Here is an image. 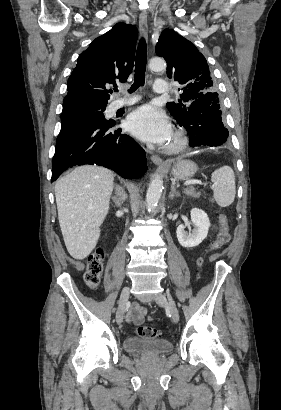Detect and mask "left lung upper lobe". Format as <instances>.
Returning <instances> with one entry per match:
<instances>
[{
    "mask_svg": "<svg viewBox=\"0 0 281 410\" xmlns=\"http://www.w3.org/2000/svg\"><path fill=\"white\" fill-rule=\"evenodd\" d=\"M155 52L166 59L167 76L182 85L178 89L181 99L177 103H167L168 110L178 124L185 120L192 102L219 99L206 59L192 42L172 29H165L159 37Z\"/></svg>",
    "mask_w": 281,
    "mask_h": 410,
    "instance_id": "left-lung-upper-lobe-1",
    "label": "left lung upper lobe"
}]
</instances>
